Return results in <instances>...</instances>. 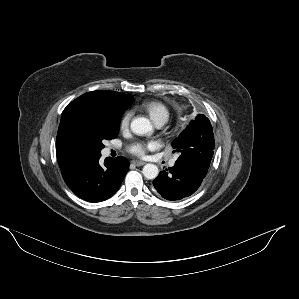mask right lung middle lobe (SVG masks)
Listing matches in <instances>:
<instances>
[{
  "label": "right lung middle lobe",
  "mask_w": 299,
  "mask_h": 299,
  "mask_svg": "<svg viewBox=\"0 0 299 299\" xmlns=\"http://www.w3.org/2000/svg\"><path fill=\"white\" fill-rule=\"evenodd\" d=\"M121 114L107 116L98 111L84 110L75 115L72 133L75 140L90 154L100 153L103 141L118 135Z\"/></svg>",
  "instance_id": "1"
}]
</instances>
